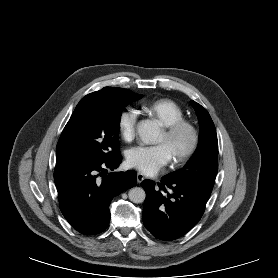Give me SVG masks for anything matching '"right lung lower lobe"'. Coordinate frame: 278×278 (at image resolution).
Returning a JSON list of instances; mask_svg holds the SVG:
<instances>
[{"label":"right lung lower lobe","instance_id":"right-lung-lower-lobe-1","mask_svg":"<svg viewBox=\"0 0 278 278\" xmlns=\"http://www.w3.org/2000/svg\"><path fill=\"white\" fill-rule=\"evenodd\" d=\"M122 161L112 158L56 166L55 185L65 219L80 233L94 235L109 225V205L114 196L136 184L133 170L109 173Z\"/></svg>","mask_w":278,"mask_h":278}]
</instances>
